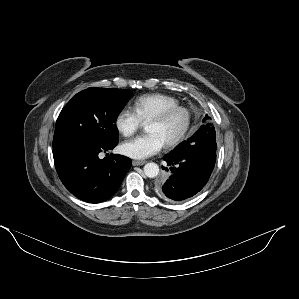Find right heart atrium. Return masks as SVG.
<instances>
[{
	"mask_svg": "<svg viewBox=\"0 0 299 299\" xmlns=\"http://www.w3.org/2000/svg\"><path fill=\"white\" fill-rule=\"evenodd\" d=\"M142 121L129 107L121 108L114 118V127L122 136L133 135L141 126Z\"/></svg>",
	"mask_w": 299,
	"mask_h": 299,
	"instance_id": "obj_1",
	"label": "right heart atrium"
}]
</instances>
